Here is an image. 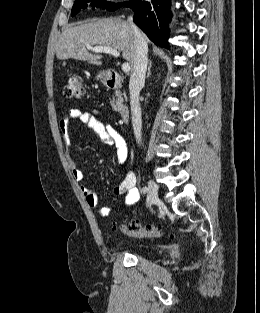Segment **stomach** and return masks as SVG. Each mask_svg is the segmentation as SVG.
Returning a JSON list of instances; mask_svg holds the SVG:
<instances>
[{"mask_svg":"<svg viewBox=\"0 0 260 313\" xmlns=\"http://www.w3.org/2000/svg\"><path fill=\"white\" fill-rule=\"evenodd\" d=\"M98 78H102V74H99V75H98Z\"/></svg>","mask_w":260,"mask_h":313,"instance_id":"1","label":"stomach"}]
</instances>
